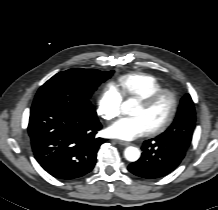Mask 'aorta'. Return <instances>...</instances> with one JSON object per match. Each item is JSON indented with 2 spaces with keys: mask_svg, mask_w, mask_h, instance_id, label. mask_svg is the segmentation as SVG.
Masks as SVG:
<instances>
[{
  "mask_svg": "<svg viewBox=\"0 0 218 210\" xmlns=\"http://www.w3.org/2000/svg\"><path fill=\"white\" fill-rule=\"evenodd\" d=\"M137 105V101L134 98H130L123 102L122 112L124 114H130L133 107ZM140 150L136 147L129 146L124 151V157L130 162H135L140 158Z\"/></svg>",
  "mask_w": 218,
  "mask_h": 210,
  "instance_id": "aorta-1",
  "label": "aorta"
}]
</instances>
